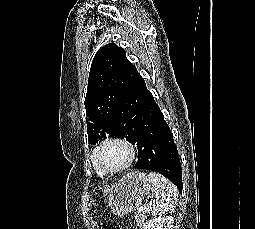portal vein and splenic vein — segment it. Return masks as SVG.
<instances>
[{"mask_svg": "<svg viewBox=\"0 0 255 229\" xmlns=\"http://www.w3.org/2000/svg\"><path fill=\"white\" fill-rule=\"evenodd\" d=\"M144 206H145V205H144ZM144 206H141V207L139 208V211L143 210Z\"/></svg>", "mask_w": 255, "mask_h": 229, "instance_id": "obj_1", "label": "portal vein and splenic vein"}]
</instances>
